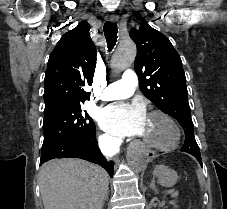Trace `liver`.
Here are the masks:
<instances>
[{
	"label": "liver",
	"instance_id": "6515ba94",
	"mask_svg": "<svg viewBox=\"0 0 227 209\" xmlns=\"http://www.w3.org/2000/svg\"><path fill=\"white\" fill-rule=\"evenodd\" d=\"M39 183L44 209H102L109 177L81 159H54L42 165Z\"/></svg>",
	"mask_w": 227,
	"mask_h": 209
}]
</instances>
